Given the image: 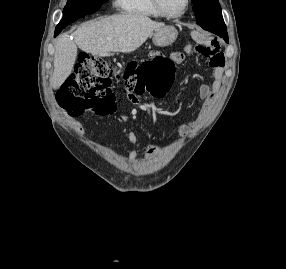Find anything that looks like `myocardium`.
<instances>
[{
    "mask_svg": "<svg viewBox=\"0 0 286 269\" xmlns=\"http://www.w3.org/2000/svg\"><path fill=\"white\" fill-rule=\"evenodd\" d=\"M152 2L156 10L160 13V15L169 19H177L182 17L187 12L190 6V0H185V4L181 12L177 14H171L164 8L162 0H152Z\"/></svg>",
    "mask_w": 286,
    "mask_h": 269,
    "instance_id": "obj_1",
    "label": "myocardium"
}]
</instances>
